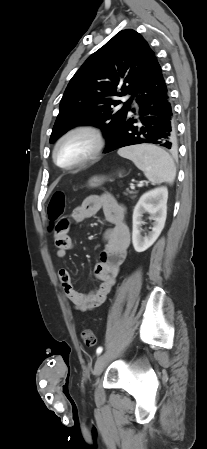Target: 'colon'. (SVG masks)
I'll list each match as a JSON object with an SVG mask.
<instances>
[{
  "mask_svg": "<svg viewBox=\"0 0 207 449\" xmlns=\"http://www.w3.org/2000/svg\"><path fill=\"white\" fill-rule=\"evenodd\" d=\"M65 210V195L61 191L55 192L47 206V215L51 223L54 224V230L58 229V223L62 220V215ZM82 338L87 346H94L96 344V337L90 329L82 332Z\"/></svg>",
  "mask_w": 207,
  "mask_h": 449,
  "instance_id": "obj_1",
  "label": "colon"
}]
</instances>
